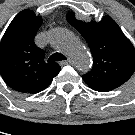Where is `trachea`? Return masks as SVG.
<instances>
[{
    "mask_svg": "<svg viewBox=\"0 0 135 135\" xmlns=\"http://www.w3.org/2000/svg\"><path fill=\"white\" fill-rule=\"evenodd\" d=\"M61 60H66V57L63 54L57 52L49 57L48 62H55Z\"/></svg>",
    "mask_w": 135,
    "mask_h": 135,
    "instance_id": "obj_1",
    "label": "trachea"
}]
</instances>
